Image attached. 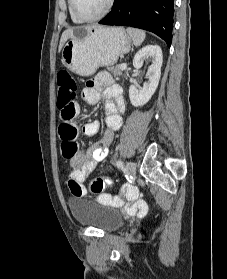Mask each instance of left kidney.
Instances as JSON below:
<instances>
[{
    "label": "left kidney",
    "mask_w": 227,
    "mask_h": 279,
    "mask_svg": "<svg viewBox=\"0 0 227 279\" xmlns=\"http://www.w3.org/2000/svg\"><path fill=\"white\" fill-rule=\"evenodd\" d=\"M152 59L146 77L148 81L140 89L135 85L129 87V98L131 104L135 107L145 105L155 93L161 77V66L163 62L162 50L158 45H147L140 49L134 56L133 66L140 69L145 59Z\"/></svg>",
    "instance_id": "5707ae66"
}]
</instances>
